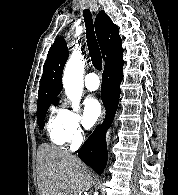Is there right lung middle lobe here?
<instances>
[{
    "label": "right lung middle lobe",
    "instance_id": "1",
    "mask_svg": "<svg viewBox=\"0 0 178 195\" xmlns=\"http://www.w3.org/2000/svg\"><path fill=\"white\" fill-rule=\"evenodd\" d=\"M52 102L53 101H49V102H45V103L37 105V123L41 129L44 128V125H45L44 118Z\"/></svg>",
    "mask_w": 178,
    "mask_h": 195
}]
</instances>
